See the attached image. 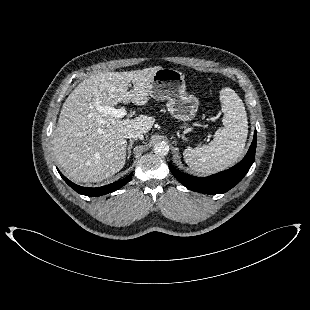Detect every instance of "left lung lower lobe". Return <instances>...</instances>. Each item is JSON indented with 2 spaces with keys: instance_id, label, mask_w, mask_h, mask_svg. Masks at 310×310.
I'll return each instance as SVG.
<instances>
[{
  "instance_id": "left-lung-lower-lobe-1",
  "label": "left lung lower lobe",
  "mask_w": 310,
  "mask_h": 310,
  "mask_svg": "<svg viewBox=\"0 0 310 310\" xmlns=\"http://www.w3.org/2000/svg\"><path fill=\"white\" fill-rule=\"evenodd\" d=\"M256 138L257 132L255 131L253 142L243 160L223 172L205 178H199L185 174L174 168L171 164H169L170 170L179 182L192 191L205 194L225 193L242 180L253 164L255 159Z\"/></svg>"
}]
</instances>
